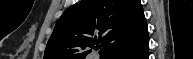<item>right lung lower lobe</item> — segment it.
Here are the masks:
<instances>
[{"mask_svg": "<svg viewBox=\"0 0 193 59\" xmlns=\"http://www.w3.org/2000/svg\"><path fill=\"white\" fill-rule=\"evenodd\" d=\"M148 32L144 33L137 40L119 49L108 59H148Z\"/></svg>", "mask_w": 193, "mask_h": 59, "instance_id": "obj_1", "label": "right lung lower lobe"}]
</instances>
